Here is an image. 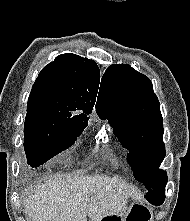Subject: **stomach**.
<instances>
[{
	"label": "stomach",
	"instance_id": "stomach-1",
	"mask_svg": "<svg viewBox=\"0 0 190 221\" xmlns=\"http://www.w3.org/2000/svg\"><path fill=\"white\" fill-rule=\"evenodd\" d=\"M124 209H129L127 212L118 214L106 213L99 221H148V218H132V217H152L150 208H146L142 200H124Z\"/></svg>",
	"mask_w": 190,
	"mask_h": 221
}]
</instances>
